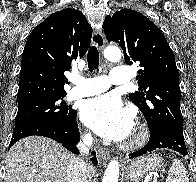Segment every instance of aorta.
Listing matches in <instances>:
<instances>
[{
  "mask_svg": "<svg viewBox=\"0 0 196 182\" xmlns=\"http://www.w3.org/2000/svg\"><path fill=\"white\" fill-rule=\"evenodd\" d=\"M121 56V51L117 47H108L104 51V57L112 62L120 60ZM119 166L120 165L117 160H111L105 170L102 182H118Z\"/></svg>",
  "mask_w": 196,
  "mask_h": 182,
  "instance_id": "762f6f07",
  "label": "aorta"
}]
</instances>
